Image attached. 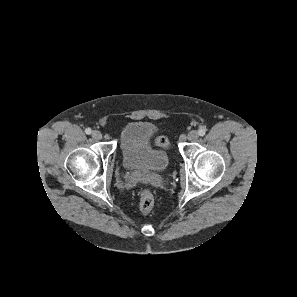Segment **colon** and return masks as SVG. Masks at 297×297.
Masks as SVG:
<instances>
[{
    "label": "colon",
    "instance_id": "1",
    "mask_svg": "<svg viewBox=\"0 0 297 297\" xmlns=\"http://www.w3.org/2000/svg\"><path fill=\"white\" fill-rule=\"evenodd\" d=\"M155 145L161 148H168L169 141L164 136H159L155 139ZM154 206V196L148 189H144L140 193L139 197V209L143 215H147L151 212Z\"/></svg>",
    "mask_w": 297,
    "mask_h": 297
}]
</instances>
